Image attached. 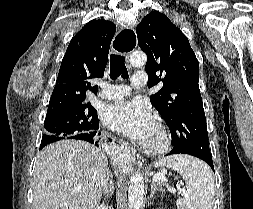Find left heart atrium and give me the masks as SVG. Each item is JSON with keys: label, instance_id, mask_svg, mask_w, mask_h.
<instances>
[{"label": "left heart atrium", "instance_id": "obj_1", "mask_svg": "<svg viewBox=\"0 0 253 209\" xmlns=\"http://www.w3.org/2000/svg\"><path fill=\"white\" fill-rule=\"evenodd\" d=\"M103 119L114 130L137 141H144L155 124L152 113L139 100H125L107 107Z\"/></svg>", "mask_w": 253, "mask_h": 209}]
</instances>
